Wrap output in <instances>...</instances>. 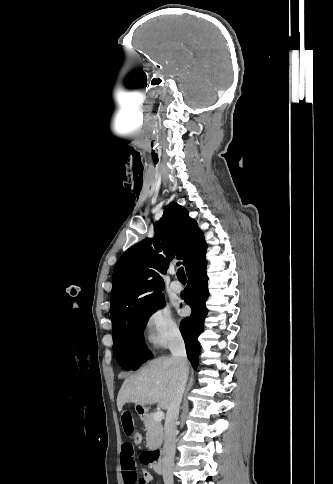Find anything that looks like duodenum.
<instances>
[{
	"instance_id": "1",
	"label": "duodenum",
	"mask_w": 333,
	"mask_h": 484,
	"mask_svg": "<svg viewBox=\"0 0 333 484\" xmlns=\"http://www.w3.org/2000/svg\"><path fill=\"white\" fill-rule=\"evenodd\" d=\"M149 457H150V459L152 461V465H153L154 471L157 474H159V475L163 474V472H164V466H163V463H162L160 450H154V451H152L149 454Z\"/></svg>"
}]
</instances>
